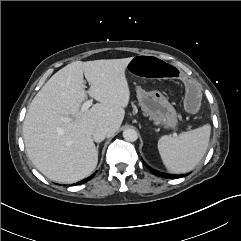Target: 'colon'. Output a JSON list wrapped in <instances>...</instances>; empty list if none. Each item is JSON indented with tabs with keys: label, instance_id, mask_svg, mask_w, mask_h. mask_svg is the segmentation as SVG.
Returning <instances> with one entry per match:
<instances>
[{
	"label": "colon",
	"instance_id": "5ec220e1",
	"mask_svg": "<svg viewBox=\"0 0 241 241\" xmlns=\"http://www.w3.org/2000/svg\"><path fill=\"white\" fill-rule=\"evenodd\" d=\"M128 69L136 75H144L146 78L158 77L163 80L179 79L185 83L189 90L186 97L188 111L197 112L200 106L199 93L201 89L191 78L181 72L180 67L174 63L163 61L160 57L152 55H140L131 57L127 63Z\"/></svg>",
	"mask_w": 241,
	"mask_h": 241
}]
</instances>
